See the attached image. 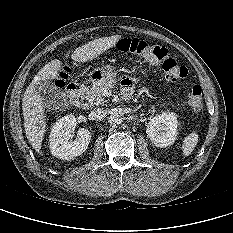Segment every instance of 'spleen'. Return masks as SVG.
I'll list each match as a JSON object with an SVG mask.
<instances>
[{"label": "spleen", "mask_w": 233, "mask_h": 233, "mask_svg": "<svg viewBox=\"0 0 233 233\" xmlns=\"http://www.w3.org/2000/svg\"><path fill=\"white\" fill-rule=\"evenodd\" d=\"M198 140H199V135L195 132L185 137L182 144L183 156L187 157L192 153V151L194 150V148L198 143Z\"/></svg>", "instance_id": "obj_1"}]
</instances>
